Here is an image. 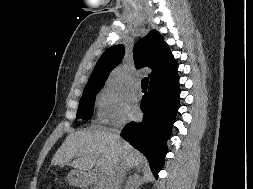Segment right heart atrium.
Here are the masks:
<instances>
[{
	"label": "right heart atrium",
	"mask_w": 253,
	"mask_h": 189,
	"mask_svg": "<svg viewBox=\"0 0 253 189\" xmlns=\"http://www.w3.org/2000/svg\"><path fill=\"white\" fill-rule=\"evenodd\" d=\"M97 121L103 125H118L125 120L123 96L113 88H104L96 100Z\"/></svg>",
	"instance_id": "1"
}]
</instances>
